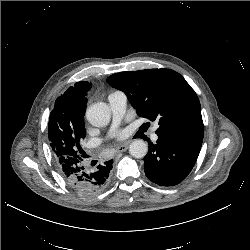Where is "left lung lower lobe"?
Listing matches in <instances>:
<instances>
[{"label": "left lung lower lobe", "mask_w": 250, "mask_h": 250, "mask_svg": "<svg viewBox=\"0 0 250 250\" xmlns=\"http://www.w3.org/2000/svg\"><path fill=\"white\" fill-rule=\"evenodd\" d=\"M203 139L158 136L144 157L147 178L160 186L182 182L192 170Z\"/></svg>", "instance_id": "obj_1"}]
</instances>
